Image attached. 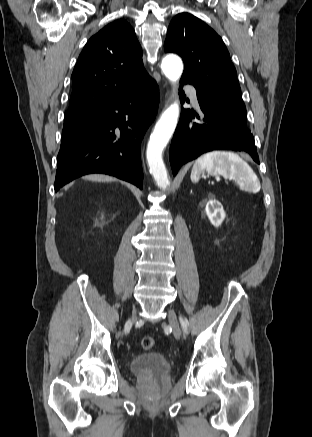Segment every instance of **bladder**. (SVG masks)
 Masks as SVG:
<instances>
[{
  "label": "bladder",
  "instance_id": "obj_1",
  "mask_svg": "<svg viewBox=\"0 0 312 437\" xmlns=\"http://www.w3.org/2000/svg\"><path fill=\"white\" fill-rule=\"evenodd\" d=\"M132 373L137 375L165 376L171 372V363L158 352H142L129 363Z\"/></svg>",
  "mask_w": 312,
  "mask_h": 437
}]
</instances>
